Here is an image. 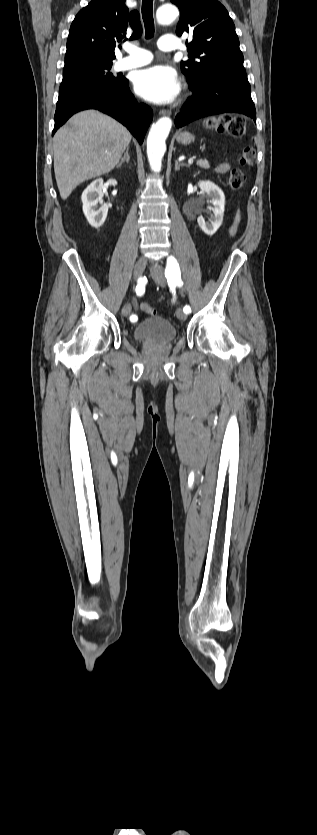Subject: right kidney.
I'll return each mask as SVG.
<instances>
[{
  "label": "right kidney",
  "mask_w": 317,
  "mask_h": 835,
  "mask_svg": "<svg viewBox=\"0 0 317 835\" xmlns=\"http://www.w3.org/2000/svg\"><path fill=\"white\" fill-rule=\"evenodd\" d=\"M103 179H95L83 191L81 200L83 203V213L94 228L102 226L106 220L108 213V205L103 203Z\"/></svg>",
  "instance_id": "right-kidney-1"
}]
</instances>
